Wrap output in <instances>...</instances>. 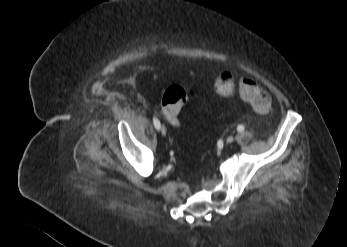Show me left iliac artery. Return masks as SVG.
I'll list each match as a JSON object with an SVG mask.
<instances>
[{"label":"left iliac artery","instance_id":"44dca946","mask_svg":"<svg viewBox=\"0 0 347 247\" xmlns=\"http://www.w3.org/2000/svg\"><path fill=\"white\" fill-rule=\"evenodd\" d=\"M244 126L243 125H238L237 126V130L239 131V132H243L244 131Z\"/></svg>","mask_w":347,"mask_h":247}]
</instances>
